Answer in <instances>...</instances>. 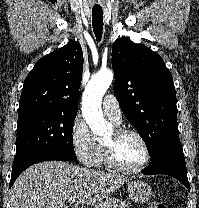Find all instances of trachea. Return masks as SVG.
Masks as SVG:
<instances>
[{"instance_id":"obj_1","label":"trachea","mask_w":199,"mask_h":208,"mask_svg":"<svg viewBox=\"0 0 199 208\" xmlns=\"http://www.w3.org/2000/svg\"><path fill=\"white\" fill-rule=\"evenodd\" d=\"M103 12L102 9H92V26L97 41L101 40L103 34Z\"/></svg>"}]
</instances>
